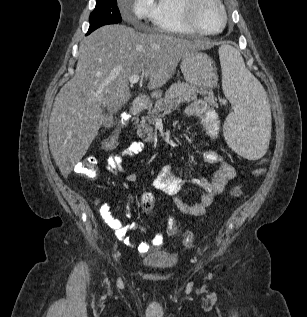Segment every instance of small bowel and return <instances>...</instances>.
<instances>
[{
	"instance_id": "obj_1",
	"label": "small bowel",
	"mask_w": 307,
	"mask_h": 317,
	"mask_svg": "<svg viewBox=\"0 0 307 317\" xmlns=\"http://www.w3.org/2000/svg\"><path fill=\"white\" fill-rule=\"evenodd\" d=\"M187 117L199 119L201 125L212 138H217L220 131V123L216 111L210 108L203 101H195L189 105L185 112ZM146 149V145L141 141H134L125 146L120 152L110 154L105 160L106 169L112 174H119L124 171V162L131 159ZM205 162L209 164H218V169L214 172L211 179L199 178L192 181L185 180L177 174L170 166L164 167L153 181V187L172 197L177 209L190 216H202L207 208L212 204L214 198L221 194L227 183L231 181L236 171L234 167L225 160L219 153L210 151L204 155ZM193 184L202 189V194L196 203H187L180 198L184 188ZM132 200V195L128 196V206ZM100 213L105 223L115 231L116 237L128 246L136 247L139 252L146 253L153 248H159L163 243L161 235L155 236L151 242L134 243L126 234L129 226L123 225L118 219H115L110 213L108 203H103L100 207ZM126 217H130L127 212Z\"/></svg>"
}]
</instances>
